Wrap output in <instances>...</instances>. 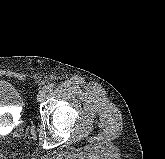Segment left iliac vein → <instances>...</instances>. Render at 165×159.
<instances>
[{
  "instance_id": "4c4485c4",
  "label": "left iliac vein",
  "mask_w": 165,
  "mask_h": 159,
  "mask_svg": "<svg viewBox=\"0 0 165 159\" xmlns=\"http://www.w3.org/2000/svg\"><path fill=\"white\" fill-rule=\"evenodd\" d=\"M47 91L45 88L41 89L37 95V101L43 102L46 98Z\"/></svg>"
}]
</instances>
